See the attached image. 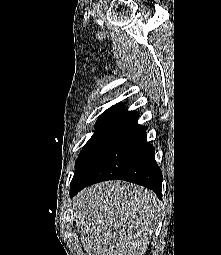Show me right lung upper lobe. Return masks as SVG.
<instances>
[{"label":"right lung upper lobe","mask_w":221,"mask_h":255,"mask_svg":"<svg viewBox=\"0 0 221 255\" xmlns=\"http://www.w3.org/2000/svg\"><path fill=\"white\" fill-rule=\"evenodd\" d=\"M123 107H124V105H122V104H116L115 106H112V107L109 108V109L119 110V109H121V108H123Z\"/></svg>","instance_id":"1"}]
</instances>
